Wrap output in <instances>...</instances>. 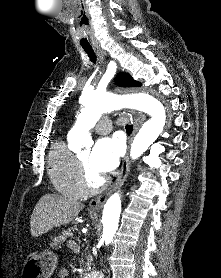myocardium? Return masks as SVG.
<instances>
[{"instance_id":"f54148a6","label":"myocardium","mask_w":221,"mask_h":278,"mask_svg":"<svg viewBox=\"0 0 221 278\" xmlns=\"http://www.w3.org/2000/svg\"><path fill=\"white\" fill-rule=\"evenodd\" d=\"M78 167L80 180L86 192L98 193L106 188L108 179L101 177L97 182H93L90 171L80 158H78Z\"/></svg>"}]
</instances>
